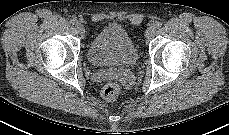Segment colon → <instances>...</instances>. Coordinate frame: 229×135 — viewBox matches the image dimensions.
<instances>
[{"label": "colon", "instance_id": "colon-1", "mask_svg": "<svg viewBox=\"0 0 229 135\" xmlns=\"http://www.w3.org/2000/svg\"><path fill=\"white\" fill-rule=\"evenodd\" d=\"M120 93V87L117 83H109L105 85L101 91V96L106 101H113Z\"/></svg>", "mask_w": 229, "mask_h": 135}]
</instances>
